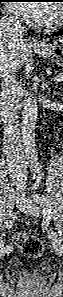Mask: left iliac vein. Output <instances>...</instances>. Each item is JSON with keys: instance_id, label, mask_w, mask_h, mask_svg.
<instances>
[{"instance_id": "4c4485c4", "label": "left iliac vein", "mask_w": 63, "mask_h": 297, "mask_svg": "<svg viewBox=\"0 0 63 297\" xmlns=\"http://www.w3.org/2000/svg\"><path fill=\"white\" fill-rule=\"evenodd\" d=\"M17 207L32 216H38L39 215V211H38V207L37 205H35L31 200L27 199L24 195H19L17 197ZM50 236L52 237L53 241V247L55 249V251L60 254L62 251V243H61V239H59L56 235L55 232H53L52 230L50 231Z\"/></svg>"}]
</instances>
